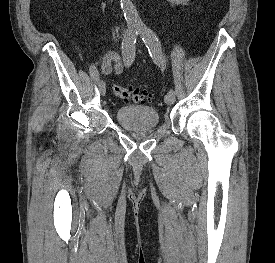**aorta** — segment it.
<instances>
[{
	"label": "aorta",
	"mask_w": 275,
	"mask_h": 263,
	"mask_svg": "<svg viewBox=\"0 0 275 263\" xmlns=\"http://www.w3.org/2000/svg\"><path fill=\"white\" fill-rule=\"evenodd\" d=\"M120 5L124 13V17L127 21V24L130 27L142 29L146 36L150 38L153 37L152 34L146 30L145 25L139 17L138 12L131 0H120Z\"/></svg>",
	"instance_id": "obj_1"
}]
</instances>
